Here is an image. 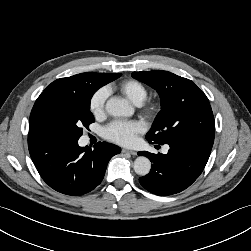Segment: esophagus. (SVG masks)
Returning <instances> with one entry per match:
<instances>
[{
    "instance_id": "esophagus-1",
    "label": "esophagus",
    "mask_w": 251,
    "mask_h": 251,
    "mask_svg": "<svg viewBox=\"0 0 251 251\" xmlns=\"http://www.w3.org/2000/svg\"><path fill=\"white\" fill-rule=\"evenodd\" d=\"M122 153H128V154H131V155H137V152L134 151V150H129V149H122Z\"/></svg>"
}]
</instances>
